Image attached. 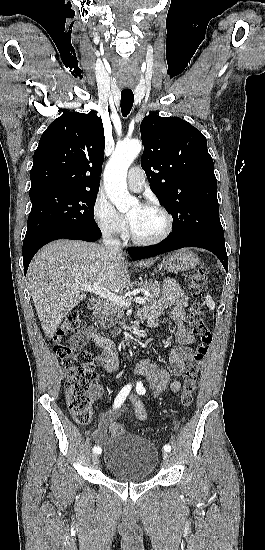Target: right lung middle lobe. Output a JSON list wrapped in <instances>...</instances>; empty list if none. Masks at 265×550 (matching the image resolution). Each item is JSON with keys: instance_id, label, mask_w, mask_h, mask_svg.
Here are the masks:
<instances>
[{"instance_id": "right-lung-middle-lobe-1", "label": "right lung middle lobe", "mask_w": 265, "mask_h": 550, "mask_svg": "<svg viewBox=\"0 0 265 550\" xmlns=\"http://www.w3.org/2000/svg\"><path fill=\"white\" fill-rule=\"evenodd\" d=\"M29 196L32 208L23 243L63 227L98 228L93 216L97 192L38 188Z\"/></svg>"}]
</instances>
